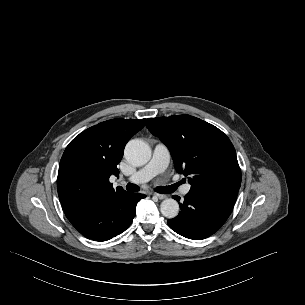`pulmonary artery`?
<instances>
[{"label":"pulmonary artery","instance_id":"1","mask_svg":"<svg viewBox=\"0 0 305 305\" xmlns=\"http://www.w3.org/2000/svg\"><path fill=\"white\" fill-rule=\"evenodd\" d=\"M170 162V152L163 143H157L153 148L152 158L150 162L127 178L133 183H144L164 172ZM191 189L190 184H185L181 187V194L186 195Z\"/></svg>","mask_w":305,"mask_h":305}]
</instances>
